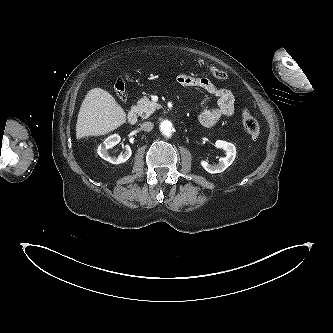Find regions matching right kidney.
<instances>
[{
	"label": "right kidney",
	"mask_w": 333,
	"mask_h": 333,
	"mask_svg": "<svg viewBox=\"0 0 333 333\" xmlns=\"http://www.w3.org/2000/svg\"><path fill=\"white\" fill-rule=\"evenodd\" d=\"M121 138L118 134H113L109 137H107L103 144H100L98 146L97 152L99 156L112 163V164H120L126 162L132 155V151L129 145L125 146V151L123 154H120L117 158L116 157H111L108 153V149L114 147L120 142Z\"/></svg>",
	"instance_id": "obj_1"
}]
</instances>
